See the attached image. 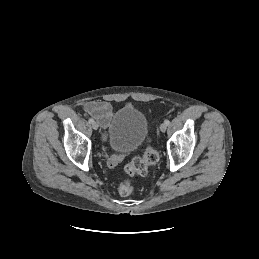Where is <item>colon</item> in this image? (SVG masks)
Here are the masks:
<instances>
[{
	"label": "colon",
	"mask_w": 259,
	"mask_h": 259,
	"mask_svg": "<svg viewBox=\"0 0 259 259\" xmlns=\"http://www.w3.org/2000/svg\"><path fill=\"white\" fill-rule=\"evenodd\" d=\"M158 162V154L152 148L148 147L142 156L135 157L130 163L125 166V172L128 176L140 175L147 173L148 168ZM133 192V187L130 180L125 179L119 184V193L122 196H129Z\"/></svg>",
	"instance_id": "obj_1"
}]
</instances>
